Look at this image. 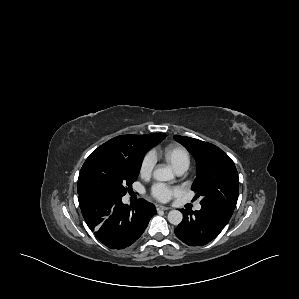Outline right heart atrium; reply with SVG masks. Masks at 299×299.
<instances>
[{"mask_svg":"<svg viewBox=\"0 0 299 299\" xmlns=\"http://www.w3.org/2000/svg\"><path fill=\"white\" fill-rule=\"evenodd\" d=\"M155 163H156L155 156L152 153H147L143 157L140 164V170H139L140 175L142 177H149L153 172Z\"/></svg>","mask_w":299,"mask_h":299,"instance_id":"d8ad5b80","label":"right heart atrium"}]
</instances>
